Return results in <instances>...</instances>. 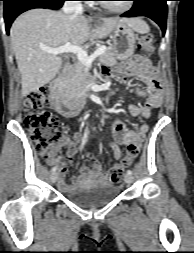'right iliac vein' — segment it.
<instances>
[{"mask_svg": "<svg viewBox=\"0 0 194 253\" xmlns=\"http://www.w3.org/2000/svg\"><path fill=\"white\" fill-rule=\"evenodd\" d=\"M50 179L53 183L57 181V173L53 172L50 176Z\"/></svg>", "mask_w": 194, "mask_h": 253, "instance_id": "63e3f726", "label": "right iliac vein"}]
</instances>
